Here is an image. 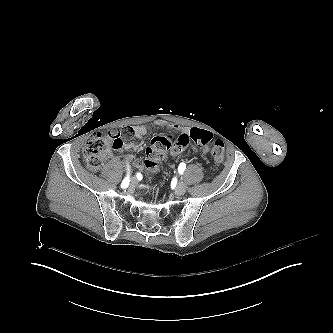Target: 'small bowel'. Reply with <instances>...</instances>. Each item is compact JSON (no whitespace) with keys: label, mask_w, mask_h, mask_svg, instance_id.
<instances>
[{"label":"small bowel","mask_w":333,"mask_h":333,"mask_svg":"<svg viewBox=\"0 0 333 333\" xmlns=\"http://www.w3.org/2000/svg\"><path fill=\"white\" fill-rule=\"evenodd\" d=\"M158 125L167 128V129H171L174 131H180V136L179 137H190L191 135H194V140L195 141H201L202 140V136L204 140H209L210 138H212V135L209 131L204 130V129H199V128H191V129H182L180 130V128L177 125L174 124H170L167 123L165 121H158L157 122ZM135 131V136L136 138L139 140L141 139L144 135H146L148 129L145 125H139L136 126L134 128ZM127 149H135L136 148V143L135 142H130L126 145ZM173 155H177L179 153V151H173L172 152ZM136 166H139V163H136Z\"/></svg>","instance_id":"c3829d8e"}]
</instances>
